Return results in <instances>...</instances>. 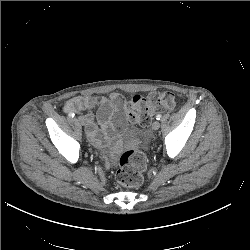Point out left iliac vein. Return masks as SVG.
I'll use <instances>...</instances> for the list:
<instances>
[{
    "instance_id": "1",
    "label": "left iliac vein",
    "mask_w": 250,
    "mask_h": 250,
    "mask_svg": "<svg viewBox=\"0 0 250 250\" xmlns=\"http://www.w3.org/2000/svg\"><path fill=\"white\" fill-rule=\"evenodd\" d=\"M160 127V123L158 121L153 122L152 124V129L153 130H158Z\"/></svg>"
}]
</instances>
